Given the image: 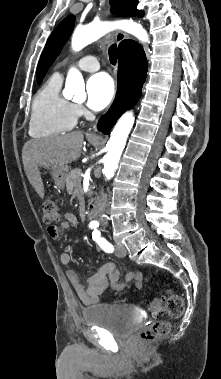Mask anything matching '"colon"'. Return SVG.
Listing matches in <instances>:
<instances>
[{
  "label": "colon",
  "instance_id": "colon-1",
  "mask_svg": "<svg viewBox=\"0 0 221 379\" xmlns=\"http://www.w3.org/2000/svg\"><path fill=\"white\" fill-rule=\"evenodd\" d=\"M60 216L59 208L52 199H47L42 205V221L44 224L53 227ZM150 311L153 315L162 313L168 314L170 317L177 318L181 316L184 310V302L180 295L173 291H169L164 299L156 298L149 304ZM171 324L167 320H156L140 333V339L144 342H152L168 335Z\"/></svg>",
  "mask_w": 221,
  "mask_h": 379
}]
</instances>
